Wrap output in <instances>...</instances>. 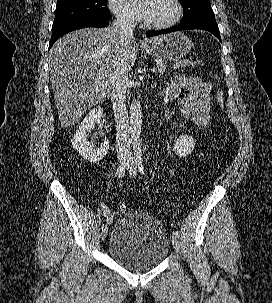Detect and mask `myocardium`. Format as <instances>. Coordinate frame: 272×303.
<instances>
[{
	"label": "myocardium",
	"mask_w": 272,
	"mask_h": 303,
	"mask_svg": "<svg viewBox=\"0 0 272 303\" xmlns=\"http://www.w3.org/2000/svg\"><path fill=\"white\" fill-rule=\"evenodd\" d=\"M175 6V14L167 22L164 23H151L147 21L145 18L143 19V24L145 27L149 29H157V30H163L173 27L178 21L181 19L183 14V6L180 0H172Z\"/></svg>",
	"instance_id": "obj_1"
}]
</instances>
